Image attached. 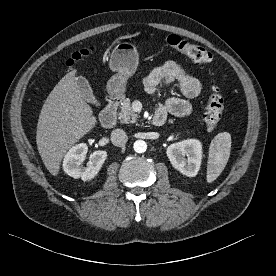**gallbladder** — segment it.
<instances>
[{
  "label": "gallbladder",
  "mask_w": 276,
  "mask_h": 276,
  "mask_svg": "<svg viewBox=\"0 0 276 276\" xmlns=\"http://www.w3.org/2000/svg\"><path fill=\"white\" fill-rule=\"evenodd\" d=\"M75 83L80 91L81 97L85 101H87L88 103H91V104L98 103L86 78H84L82 76H78L75 78Z\"/></svg>",
  "instance_id": "1"
}]
</instances>
